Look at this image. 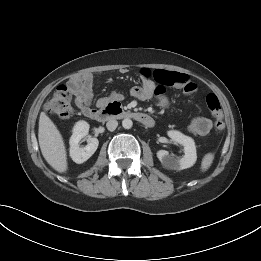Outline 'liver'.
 Returning a JSON list of instances; mask_svg holds the SVG:
<instances>
[{
  "label": "liver",
  "mask_w": 261,
  "mask_h": 261,
  "mask_svg": "<svg viewBox=\"0 0 261 261\" xmlns=\"http://www.w3.org/2000/svg\"><path fill=\"white\" fill-rule=\"evenodd\" d=\"M38 140L43 157L59 173L68 169L67 154L61 133L51 119L41 112Z\"/></svg>",
  "instance_id": "6515ba94"
}]
</instances>
